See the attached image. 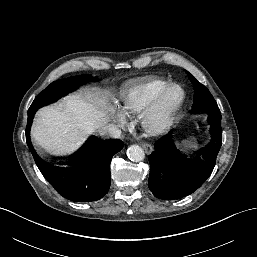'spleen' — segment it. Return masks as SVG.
<instances>
[{
	"mask_svg": "<svg viewBox=\"0 0 257 257\" xmlns=\"http://www.w3.org/2000/svg\"><path fill=\"white\" fill-rule=\"evenodd\" d=\"M188 144H189V142H188V141H185V142H184V146H185V147H187V146H188Z\"/></svg>",
	"mask_w": 257,
	"mask_h": 257,
	"instance_id": "1",
	"label": "spleen"
}]
</instances>
